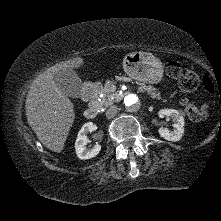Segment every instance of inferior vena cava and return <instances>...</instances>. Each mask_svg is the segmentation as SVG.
<instances>
[{"label": "inferior vena cava", "instance_id": "obj_1", "mask_svg": "<svg viewBox=\"0 0 221 221\" xmlns=\"http://www.w3.org/2000/svg\"><path fill=\"white\" fill-rule=\"evenodd\" d=\"M118 112V107L116 105L110 106L106 111L107 118H113Z\"/></svg>", "mask_w": 221, "mask_h": 221}]
</instances>
